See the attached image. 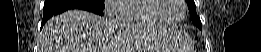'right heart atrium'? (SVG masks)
Returning a JSON list of instances; mask_svg holds the SVG:
<instances>
[{
  "label": "right heart atrium",
  "mask_w": 261,
  "mask_h": 52,
  "mask_svg": "<svg viewBox=\"0 0 261 52\" xmlns=\"http://www.w3.org/2000/svg\"><path fill=\"white\" fill-rule=\"evenodd\" d=\"M124 1L126 0H106L104 2V11L106 15L110 17H115L120 15L119 12L116 10V6L123 3Z\"/></svg>",
  "instance_id": "1"
}]
</instances>
